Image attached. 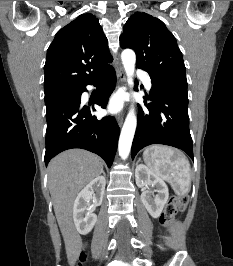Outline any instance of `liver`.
Segmentation results:
<instances>
[{"mask_svg": "<svg viewBox=\"0 0 233 266\" xmlns=\"http://www.w3.org/2000/svg\"><path fill=\"white\" fill-rule=\"evenodd\" d=\"M103 170L97 155L82 149L64 151L48 165V185L55 216L67 250L73 247L77 233L72 219L73 203L79 191Z\"/></svg>", "mask_w": 233, "mask_h": 266, "instance_id": "6515ba94", "label": "liver"}]
</instances>
